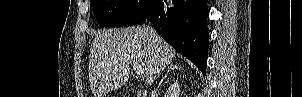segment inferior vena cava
<instances>
[{"instance_id": "1", "label": "inferior vena cava", "mask_w": 302, "mask_h": 97, "mask_svg": "<svg viewBox=\"0 0 302 97\" xmlns=\"http://www.w3.org/2000/svg\"><path fill=\"white\" fill-rule=\"evenodd\" d=\"M149 32H150L151 37H153V39H155V40L157 41V40H158V35H157V33L154 31V29L151 28V27H149ZM153 93H155V91L152 92V94H153Z\"/></svg>"}]
</instances>
